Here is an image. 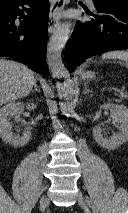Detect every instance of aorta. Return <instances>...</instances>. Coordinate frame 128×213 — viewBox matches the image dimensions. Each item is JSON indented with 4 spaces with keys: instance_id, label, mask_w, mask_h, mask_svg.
<instances>
[{
    "instance_id": "aorta-1",
    "label": "aorta",
    "mask_w": 128,
    "mask_h": 213,
    "mask_svg": "<svg viewBox=\"0 0 128 213\" xmlns=\"http://www.w3.org/2000/svg\"><path fill=\"white\" fill-rule=\"evenodd\" d=\"M71 32V23L66 22L60 25L52 34L47 45V64L52 77L65 80L57 84L58 96L61 99L60 110L64 115H70L74 112V86L69 79V72L62 62L61 53Z\"/></svg>"
}]
</instances>
